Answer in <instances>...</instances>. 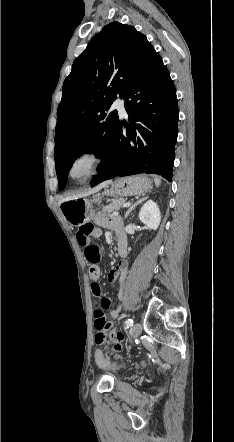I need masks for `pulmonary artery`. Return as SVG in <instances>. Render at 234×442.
I'll return each mask as SVG.
<instances>
[{
  "mask_svg": "<svg viewBox=\"0 0 234 442\" xmlns=\"http://www.w3.org/2000/svg\"><path fill=\"white\" fill-rule=\"evenodd\" d=\"M112 107L114 109H116L121 116H126V110H125V105H124V100L123 99H119V98L116 99L113 102Z\"/></svg>",
  "mask_w": 234,
  "mask_h": 442,
  "instance_id": "obj_1",
  "label": "pulmonary artery"
}]
</instances>
